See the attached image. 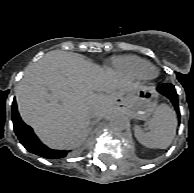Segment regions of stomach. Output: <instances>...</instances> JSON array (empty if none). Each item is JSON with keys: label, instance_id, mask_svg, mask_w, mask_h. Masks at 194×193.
Segmentation results:
<instances>
[{"label": "stomach", "instance_id": "1", "mask_svg": "<svg viewBox=\"0 0 194 193\" xmlns=\"http://www.w3.org/2000/svg\"><path fill=\"white\" fill-rule=\"evenodd\" d=\"M121 110L129 117L146 119L156 107V93L153 87L144 86L137 92L125 96L119 101Z\"/></svg>", "mask_w": 194, "mask_h": 193}]
</instances>
